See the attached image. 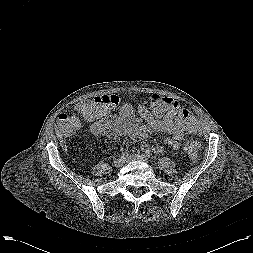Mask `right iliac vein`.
<instances>
[{"label":"right iliac vein","instance_id":"1","mask_svg":"<svg viewBox=\"0 0 253 253\" xmlns=\"http://www.w3.org/2000/svg\"><path fill=\"white\" fill-rule=\"evenodd\" d=\"M124 163H125V160L123 158H120V157L114 159V161H113V164L116 167H121Z\"/></svg>","mask_w":253,"mask_h":253}]
</instances>
